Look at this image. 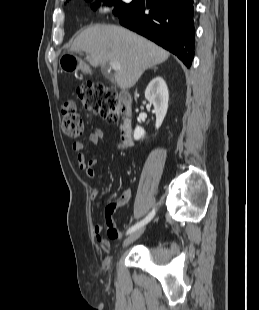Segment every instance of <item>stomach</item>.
Returning a JSON list of instances; mask_svg holds the SVG:
<instances>
[{"label":"stomach","mask_w":259,"mask_h":310,"mask_svg":"<svg viewBox=\"0 0 259 310\" xmlns=\"http://www.w3.org/2000/svg\"><path fill=\"white\" fill-rule=\"evenodd\" d=\"M59 67L62 71L73 73L78 70L87 71L88 67L74 52H66L59 59Z\"/></svg>","instance_id":"0dacf381"}]
</instances>
